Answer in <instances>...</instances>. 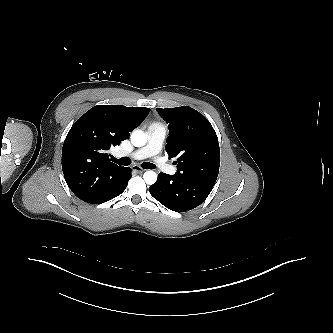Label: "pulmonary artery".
Wrapping results in <instances>:
<instances>
[{
    "instance_id": "obj_1",
    "label": "pulmonary artery",
    "mask_w": 333,
    "mask_h": 333,
    "mask_svg": "<svg viewBox=\"0 0 333 333\" xmlns=\"http://www.w3.org/2000/svg\"><path fill=\"white\" fill-rule=\"evenodd\" d=\"M166 134H167V129L165 126L161 124H153L149 127L148 141L144 147L137 149L131 153L119 152L117 156L129 155L133 159L137 160L148 157H154L161 151L163 142L166 138ZM153 163L157 168L161 169L162 171L168 174L176 173L175 167L166 164L159 159H154Z\"/></svg>"
}]
</instances>
